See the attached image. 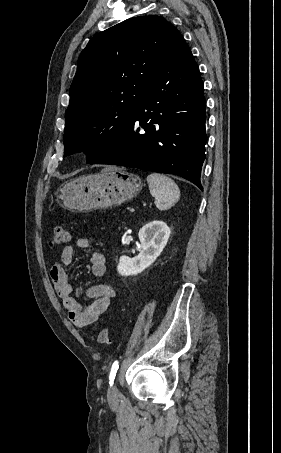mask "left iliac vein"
Wrapping results in <instances>:
<instances>
[{
	"label": "left iliac vein",
	"mask_w": 281,
	"mask_h": 453,
	"mask_svg": "<svg viewBox=\"0 0 281 453\" xmlns=\"http://www.w3.org/2000/svg\"><path fill=\"white\" fill-rule=\"evenodd\" d=\"M108 393H109L110 395H116V394L118 393V390H117V388H116L115 386H114V387L111 386V387L109 388V390H108Z\"/></svg>",
	"instance_id": "4c4485c4"
}]
</instances>
